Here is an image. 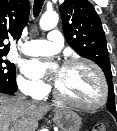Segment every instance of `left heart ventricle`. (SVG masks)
<instances>
[{"instance_id":"1","label":"left heart ventricle","mask_w":117,"mask_h":131,"mask_svg":"<svg viewBox=\"0 0 117 131\" xmlns=\"http://www.w3.org/2000/svg\"><path fill=\"white\" fill-rule=\"evenodd\" d=\"M55 83L63 95L86 105L95 104L101 96L99 79L86 65L60 68Z\"/></svg>"}]
</instances>
